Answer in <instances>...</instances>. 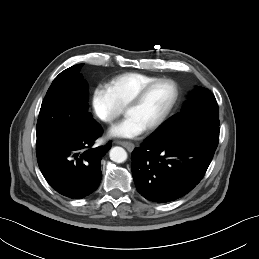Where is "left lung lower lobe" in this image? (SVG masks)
I'll return each mask as SVG.
<instances>
[{"label":"left lung lower lobe","mask_w":259,"mask_h":259,"mask_svg":"<svg viewBox=\"0 0 259 259\" xmlns=\"http://www.w3.org/2000/svg\"><path fill=\"white\" fill-rule=\"evenodd\" d=\"M219 132V127L194 125L163 141L145 139L131 156L137 191L158 203L176 200L190 192L213 159Z\"/></svg>","instance_id":"1"}]
</instances>
